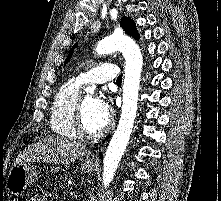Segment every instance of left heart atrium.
Masks as SVG:
<instances>
[{
    "label": "left heart atrium",
    "instance_id": "obj_1",
    "mask_svg": "<svg viewBox=\"0 0 221 201\" xmlns=\"http://www.w3.org/2000/svg\"><path fill=\"white\" fill-rule=\"evenodd\" d=\"M97 101H98V105H99V108H100V111H101L102 115L106 119H108V121H109L110 116H111V109H110L109 105L106 102L102 101V100H97Z\"/></svg>",
    "mask_w": 221,
    "mask_h": 201
}]
</instances>
